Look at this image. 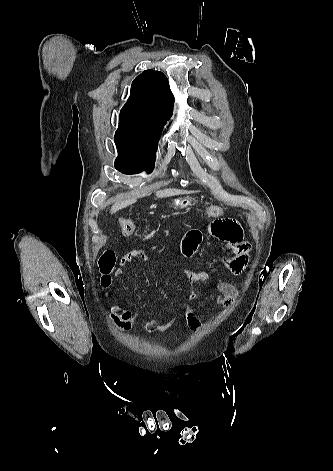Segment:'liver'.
<instances>
[{"label":"liver","instance_id":"1","mask_svg":"<svg viewBox=\"0 0 333 471\" xmlns=\"http://www.w3.org/2000/svg\"><path fill=\"white\" fill-rule=\"evenodd\" d=\"M189 191H184L180 189H164V190H159L156 192V197L157 198H165V197H171L175 195H180V194H187ZM137 201V196L128 198V199H119L117 202L113 204V206L110 209L111 213H115L123 208H126L132 204H134Z\"/></svg>","mask_w":333,"mask_h":471}]
</instances>
